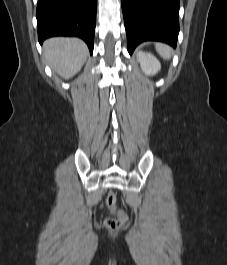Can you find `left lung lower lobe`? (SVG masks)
I'll return each mask as SVG.
<instances>
[{
	"label": "left lung lower lobe",
	"instance_id": "0a47b994",
	"mask_svg": "<svg viewBox=\"0 0 227 265\" xmlns=\"http://www.w3.org/2000/svg\"><path fill=\"white\" fill-rule=\"evenodd\" d=\"M128 52L143 41L175 47L179 33V0H121Z\"/></svg>",
	"mask_w": 227,
	"mask_h": 265
}]
</instances>
